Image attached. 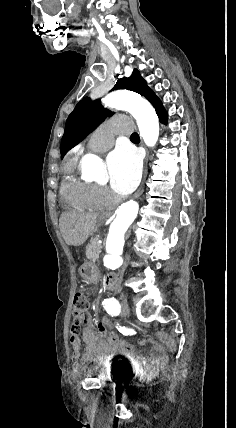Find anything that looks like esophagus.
<instances>
[{
  "label": "esophagus",
  "instance_id": "34e87169",
  "mask_svg": "<svg viewBox=\"0 0 236 428\" xmlns=\"http://www.w3.org/2000/svg\"><path fill=\"white\" fill-rule=\"evenodd\" d=\"M141 145H143V141L142 140H141ZM147 162H148V152L146 153V157H145V168H144L143 178H142V181H141V184H140L139 188L137 189V191L134 194V198L141 197V195L144 192V189H145V180H146L147 173H148Z\"/></svg>",
  "mask_w": 236,
  "mask_h": 428
}]
</instances>
